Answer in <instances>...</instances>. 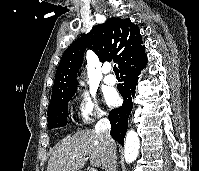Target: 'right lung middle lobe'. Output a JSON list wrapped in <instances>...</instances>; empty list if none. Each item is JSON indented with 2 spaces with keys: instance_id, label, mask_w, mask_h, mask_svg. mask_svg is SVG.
<instances>
[{
  "instance_id": "right-lung-middle-lobe-1",
  "label": "right lung middle lobe",
  "mask_w": 199,
  "mask_h": 171,
  "mask_svg": "<svg viewBox=\"0 0 199 171\" xmlns=\"http://www.w3.org/2000/svg\"><path fill=\"white\" fill-rule=\"evenodd\" d=\"M72 96L49 105V108H48V127L49 128H56V127H61V126L66 125L68 102H69V99L72 98Z\"/></svg>"
}]
</instances>
